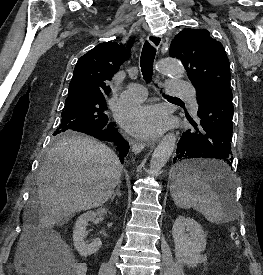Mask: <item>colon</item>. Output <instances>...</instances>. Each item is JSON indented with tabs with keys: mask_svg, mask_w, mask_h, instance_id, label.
<instances>
[{
	"mask_svg": "<svg viewBox=\"0 0 263 275\" xmlns=\"http://www.w3.org/2000/svg\"><path fill=\"white\" fill-rule=\"evenodd\" d=\"M48 252L51 256L49 272L53 275H83V265L70 259L58 246L50 247Z\"/></svg>",
	"mask_w": 263,
	"mask_h": 275,
	"instance_id": "colon-1",
	"label": "colon"
}]
</instances>
